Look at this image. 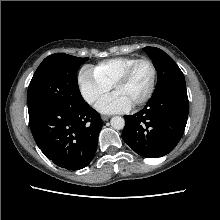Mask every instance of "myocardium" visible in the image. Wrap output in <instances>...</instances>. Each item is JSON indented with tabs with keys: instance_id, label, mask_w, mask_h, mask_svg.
Listing matches in <instances>:
<instances>
[{
	"instance_id": "1",
	"label": "myocardium",
	"mask_w": 220,
	"mask_h": 220,
	"mask_svg": "<svg viewBox=\"0 0 220 220\" xmlns=\"http://www.w3.org/2000/svg\"><path fill=\"white\" fill-rule=\"evenodd\" d=\"M141 63H148L151 67L152 70V79H151V84L150 88L147 92V94L139 100L137 103H135L132 107L133 108H138L144 104H146L153 96L155 89H156V84H157V77H158V71L155 63L153 60L150 58H139L137 59L134 63H132L126 70L125 72L116 80L114 85L112 86L113 90L115 91L119 86L125 84L132 76L134 73L135 69L140 65Z\"/></svg>"
}]
</instances>
